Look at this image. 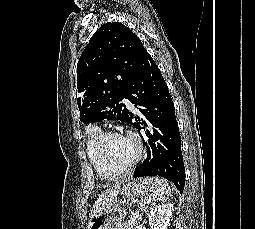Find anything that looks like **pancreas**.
Here are the masks:
<instances>
[{
	"mask_svg": "<svg viewBox=\"0 0 255 229\" xmlns=\"http://www.w3.org/2000/svg\"><path fill=\"white\" fill-rule=\"evenodd\" d=\"M137 221H134L132 224H118L115 229H133Z\"/></svg>",
	"mask_w": 255,
	"mask_h": 229,
	"instance_id": "pancreas-1",
	"label": "pancreas"
}]
</instances>
